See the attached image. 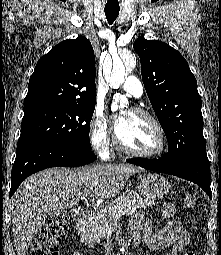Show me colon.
I'll return each mask as SVG.
<instances>
[{
  "mask_svg": "<svg viewBox=\"0 0 221 255\" xmlns=\"http://www.w3.org/2000/svg\"><path fill=\"white\" fill-rule=\"evenodd\" d=\"M197 203L198 199L194 195H188L183 200V205L187 209L194 208ZM68 224L66 216H59L50 220L33 242L29 255H58L57 245L64 237ZM185 255L195 254L188 251Z\"/></svg>",
  "mask_w": 221,
  "mask_h": 255,
  "instance_id": "colon-1",
  "label": "colon"
}]
</instances>
